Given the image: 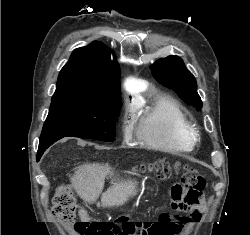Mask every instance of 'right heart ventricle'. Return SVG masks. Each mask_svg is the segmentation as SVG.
<instances>
[{"instance_id":"obj_1","label":"right heart ventricle","mask_w":250,"mask_h":235,"mask_svg":"<svg viewBox=\"0 0 250 235\" xmlns=\"http://www.w3.org/2000/svg\"><path fill=\"white\" fill-rule=\"evenodd\" d=\"M137 141L147 148L180 154L194 147V128L181 105L159 95L147 104H136Z\"/></svg>"}]
</instances>
